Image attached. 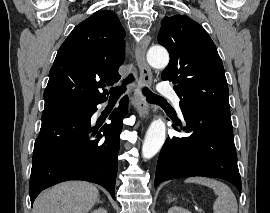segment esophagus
<instances>
[{
	"label": "esophagus",
	"instance_id": "esophagus-1",
	"mask_svg": "<svg viewBox=\"0 0 270 213\" xmlns=\"http://www.w3.org/2000/svg\"><path fill=\"white\" fill-rule=\"evenodd\" d=\"M151 37L147 35L142 39L140 45L135 50V58L137 66L139 68V84L140 86H150L152 83V72L149 65L146 62V51L150 43ZM135 98V108L141 118H145L150 114V106L147 103L145 97L143 96L141 89L138 88L134 93Z\"/></svg>",
	"mask_w": 270,
	"mask_h": 213
}]
</instances>
